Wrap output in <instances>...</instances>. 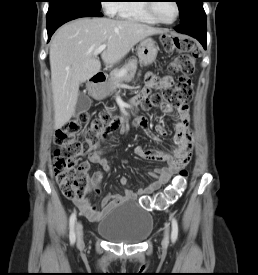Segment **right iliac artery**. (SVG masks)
<instances>
[{
    "label": "right iliac artery",
    "instance_id": "82829eb1",
    "mask_svg": "<svg viewBox=\"0 0 258 275\" xmlns=\"http://www.w3.org/2000/svg\"><path fill=\"white\" fill-rule=\"evenodd\" d=\"M75 221H76V213L74 212L70 216V223H69V228H70L69 239L72 245L75 243V240H76L75 231H74Z\"/></svg>",
    "mask_w": 258,
    "mask_h": 275
}]
</instances>
